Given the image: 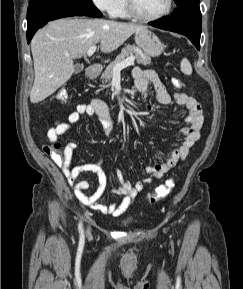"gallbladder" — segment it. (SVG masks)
<instances>
[{
    "mask_svg": "<svg viewBox=\"0 0 243 289\" xmlns=\"http://www.w3.org/2000/svg\"><path fill=\"white\" fill-rule=\"evenodd\" d=\"M81 71H83V66L82 65H75L74 73L78 74Z\"/></svg>",
    "mask_w": 243,
    "mask_h": 289,
    "instance_id": "1",
    "label": "gallbladder"
}]
</instances>
